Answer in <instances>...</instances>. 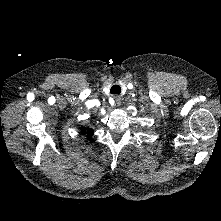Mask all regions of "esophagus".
Returning a JSON list of instances; mask_svg holds the SVG:
<instances>
[{
	"instance_id": "esophagus-1",
	"label": "esophagus",
	"mask_w": 221,
	"mask_h": 221,
	"mask_svg": "<svg viewBox=\"0 0 221 221\" xmlns=\"http://www.w3.org/2000/svg\"><path fill=\"white\" fill-rule=\"evenodd\" d=\"M113 99L115 100V102H116L117 105L120 104V102H121V98H120V96H118V95H114V96H113Z\"/></svg>"
}]
</instances>
